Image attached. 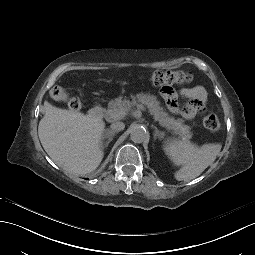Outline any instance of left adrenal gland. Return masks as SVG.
Masks as SVG:
<instances>
[{
	"instance_id": "obj_1",
	"label": "left adrenal gland",
	"mask_w": 255,
	"mask_h": 255,
	"mask_svg": "<svg viewBox=\"0 0 255 255\" xmlns=\"http://www.w3.org/2000/svg\"><path fill=\"white\" fill-rule=\"evenodd\" d=\"M152 127L155 129V132H154V139H162L163 136H164V131H160L157 127L153 126Z\"/></svg>"
}]
</instances>
